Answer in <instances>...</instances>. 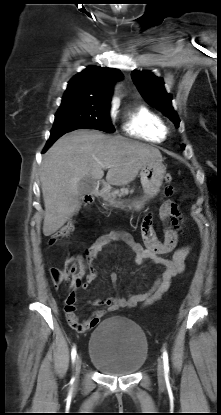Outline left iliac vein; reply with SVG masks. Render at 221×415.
I'll return each instance as SVG.
<instances>
[{
    "mask_svg": "<svg viewBox=\"0 0 221 415\" xmlns=\"http://www.w3.org/2000/svg\"><path fill=\"white\" fill-rule=\"evenodd\" d=\"M157 376H158V380L160 382H164V380H165V370H164V364H163L162 359L158 360Z\"/></svg>",
    "mask_w": 221,
    "mask_h": 415,
    "instance_id": "obj_1",
    "label": "left iliac vein"
}]
</instances>
